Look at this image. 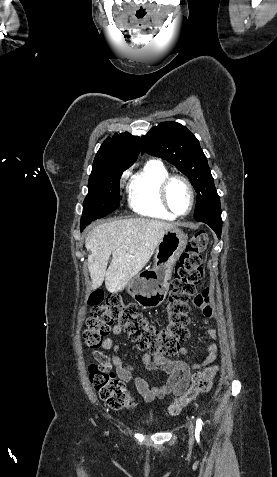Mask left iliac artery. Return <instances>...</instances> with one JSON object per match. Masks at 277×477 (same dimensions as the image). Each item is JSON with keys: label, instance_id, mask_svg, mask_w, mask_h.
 I'll return each instance as SVG.
<instances>
[{"label": "left iliac artery", "instance_id": "44dca946", "mask_svg": "<svg viewBox=\"0 0 277 477\" xmlns=\"http://www.w3.org/2000/svg\"><path fill=\"white\" fill-rule=\"evenodd\" d=\"M201 430H202V422H201V419H197V421H196V433L201 432Z\"/></svg>", "mask_w": 277, "mask_h": 477}]
</instances>
